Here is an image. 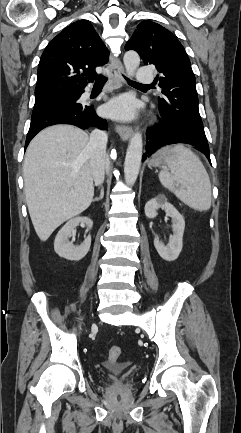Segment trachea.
Segmentation results:
<instances>
[{
	"mask_svg": "<svg viewBox=\"0 0 241 433\" xmlns=\"http://www.w3.org/2000/svg\"><path fill=\"white\" fill-rule=\"evenodd\" d=\"M129 83L133 84V85H140V86H148V85H144L135 81H131L128 78L124 77ZM107 81V77L104 75H100L96 77V82L95 85H103L105 84V82Z\"/></svg>",
	"mask_w": 241,
	"mask_h": 433,
	"instance_id": "obj_1",
	"label": "trachea"
}]
</instances>
